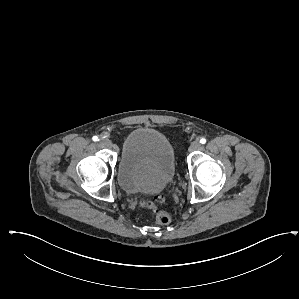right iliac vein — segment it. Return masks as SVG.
<instances>
[{"label": "right iliac vein", "instance_id": "right-iliac-vein-1", "mask_svg": "<svg viewBox=\"0 0 299 299\" xmlns=\"http://www.w3.org/2000/svg\"><path fill=\"white\" fill-rule=\"evenodd\" d=\"M99 142L102 146H105V147H111L112 146L111 141L106 137H101Z\"/></svg>", "mask_w": 299, "mask_h": 299}]
</instances>
